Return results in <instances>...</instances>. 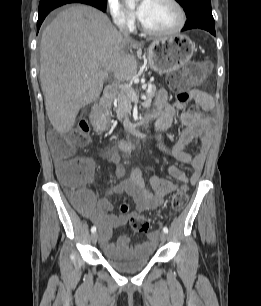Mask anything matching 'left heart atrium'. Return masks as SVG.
Returning a JSON list of instances; mask_svg holds the SVG:
<instances>
[{"mask_svg": "<svg viewBox=\"0 0 261 306\" xmlns=\"http://www.w3.org/2000/svg\"><path fill=\"white\" fill-rule=\"evenodd\" d=\"M144 1V0H143ZM142 10V2L137 6L136 10H135V15H137L139 17L140 13Z\"/></svg>", "mask_w": 261, "mask_h": 306, "instance_id": "39dd6f15", "label": "left heart atrium"}]
</instances>
